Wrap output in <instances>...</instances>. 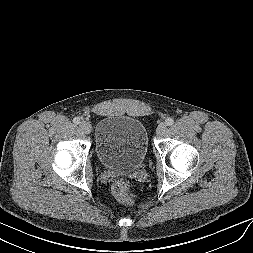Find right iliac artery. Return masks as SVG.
I'll use <instances>...</instances> for the list:
<instances>
[{
  "label": "right iliac artery",
  "instance_id": "right-iliac-artery-1",
  "mask_svg": "<svg viewBox=\"0 0 253 253\" xmlns=\"http://www.w3.org/2000/svg\"><path fill=\"white\" fill-rule=\"evenodd\" d=\"M73 122H74L75 124H79V123H80V118H79V117H75V118L73 119Z\"/></svg>",
  "mask_w": 253,
  "mask_h": 253
}]
</instances>
